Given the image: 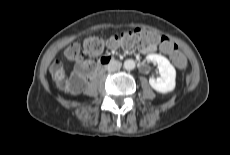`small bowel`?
Returning <instances> with one entry per match:
<instances>
[{"instance_id": "1", "label": "small bowel", "mask_w": 230, "mask_h": 155, "mask_svg": "<svg viewBox=\"0 0 230 155\" xmlns=\"http://www.w3.org/2000/svg\"><path fill=\"white\" fill-rule=\"evenodd\" d=\"M117 48H119V47H108V49H110V50H115ZM155 49H156L155 45H150V46L142 47L141 51L143 53L148 54V53H152Z\"/></svg>"}]
</instances>
